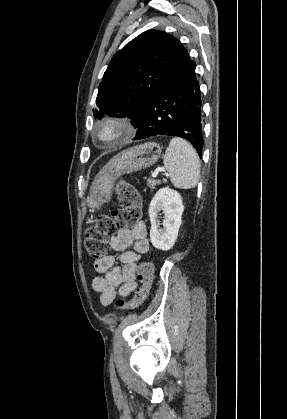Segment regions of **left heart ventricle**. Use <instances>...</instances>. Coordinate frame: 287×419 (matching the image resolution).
Masks as SVG:
<instances>
[{
    "label": "left heart ventricle",
    "mask_w": 287,
    "mask_h": 419,
    "mask_svg": "<svg viewBox=\"0 0 287 419\" xmlns=\"http://www.w3.org/2000/svg\"><path fill=\"white\" fill-rule=\"evenodd\" d=\"M111 136H112V132H110V131H104V132L102 133V137H103L104 139H109Z\"/></svg>",
    "instance_id": "1"
}]
</instances>
